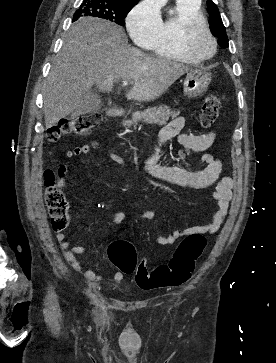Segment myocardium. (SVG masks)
Here are the masks:
<instances>
[{
  "mask_svg": "<svg viewBox=\"0 0 276 363\" xmlns=\"http://www.w3.org/2000/svg\"><path fill=\"white\" fill-rule=\"evenodd\" d=\"M198 30L205 31L212 43V51L208 55H200L196 53L190 46V39ZM180 41L183 51L191 60L197 63H202L210 60L217 51V41L212 31L210 30V27L208 26L206 21H202L199 19L189 20L182 25L180 30Z\"/></svg>",
  "mask_w": 276,
  "mask_h": 363,
  "instance_id": "1",
  "label": "myocardium"
}]
</instances>
